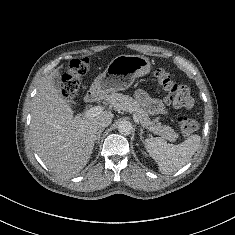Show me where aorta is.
<instances>
[{
    "mask_svg": "<svg viewBox=\"0 0 235 235\" xmlns=\"http://www.w3.org/2000/svg\"><path fill=\"white\" fill-rule=\"evenodd\" d=\"M133 129L132 124L129 121H121L118 124V131L122 135H129L131 134Z\"/></svg>",
    "mask_w": 235,
    "mask_h": 235,
    "instance_id": "obj_1",
    "label": "aorta"
}]
</instances>
